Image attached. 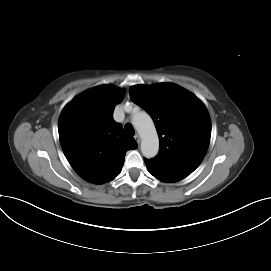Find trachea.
<instances>
[{
    "instance_id": "obj_1",
    "label": "trachea",
    "mask_w": 271,
    "mask_h": 271,
    "mask_svg": "<svg viewBox=\"0 0 271 271\" xmlns=\"http://www.w3.org/2000/svg\"><path fill=\"white\" fill-rule=\"evenodd\" d=\"M124 131L127 135L133 136L134 135V128L131 124H126L124 127Z\"/></svg>"
}]
</instances>
